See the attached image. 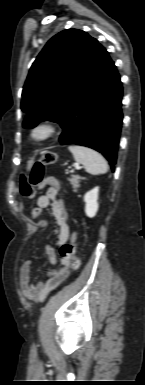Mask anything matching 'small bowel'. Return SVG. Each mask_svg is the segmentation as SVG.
Here are the masks:
<instances>
[{
	"label": "small bowel",
	"instance_id": "small-bowel-1",
	"mask_svg": "<svg viewBox=\"0 0 145 385\" xmlns=\"http://www.w3.org/2000/svg\"><path fill=\"white\" fill-rule=\"evenodd\" d=\"M49 189L47 192L37 199V207L42 211L43 208L51 207L57 228L54 233L57 236V244L64 245L70 237V226L68 212L58 195L59 181L56 178L48 179ZM33 216V211H32ZM47 222L41 220L37 223L39 227H45ZM73 235L72 237H74ZM45 253L49 262L52 265L48 276L41 280L35 281L32 273V262L25 261L20 269V286L23 296L31 302L41 303L48 294L57 288L63 281H65L71 271L74 269L68 259H61L60 267H55L57 256L55 248L51 245L45 246Z\"/></svg>",
	"mask_w": 145,
	"mask_h": 385
}]
</instances>
